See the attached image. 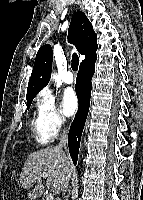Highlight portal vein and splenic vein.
<instances>
[{
    "mask_svg": "<svg viewBox=\"0 0 143 200\" xmlns=\"http://www.w3.org/2000/svg\"><path fill=\"white\" fill-rule=\"evenodd\" d=\"M47 177V172L43 173V178ZM46 200H54V197L52 194L47 195Z\"/></svg>",
    "mask_w": 143,
    "mask_h": 200,
    "instance_id": "obj_1",
    "label": "portal vein and splenic vein"
}]
</instances>
